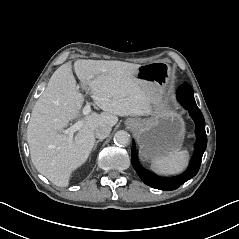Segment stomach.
Here are the masks:
<instances>
[{"instance_id":"1","label":"stomach","mask_w":239,"mask_h":239,"mask_svg":"<svg viewBox=\"0 0 239 239\" xmlns=\"http://www.w3.org/2000/svg\"><path fill=\"white\" fill-rule=\"evenodd\" d=\"M137 79L148 81L158 89H163L169 83L168 72L152 71L149 66L139 70ZM159 92V101L154 105L150 118L140 119L134 132L140 146V155L146 161L154 162L163 159L171 153L178 152L185 136V123L176 111L170 99ZM132 118H128L126 121Z\"/></svg>"}]
</instances>
